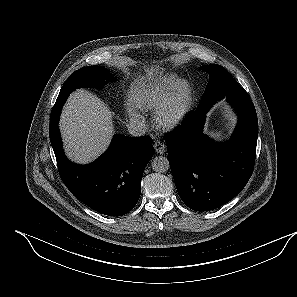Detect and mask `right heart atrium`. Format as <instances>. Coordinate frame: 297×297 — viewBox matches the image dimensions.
Listing matches in <instances>:
<instances>
[{
  "instance_id": "obj_1",
  "label": "right heart atrium",
  "mask_w": 297,
  "mask_h": 297,
  "mask_svg": "<svg viewBox=\"0 0 297 297\" xmlns=\"http://www.w3.org/2000/svg\"><path fill=\"white\" fill-rule=\"evenodd\" d=\"M126 111L131 120L135 122H140L142 120V116L140 112L133 104H127Z\"/></svg>"
}]
</instances>
